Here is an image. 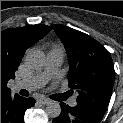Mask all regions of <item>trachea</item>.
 Segmentation results:
<instances>
[{
    "instance_id": "obj_1",
    "label": "trachea",
    "mask_w": 123,
    "mask_h": 123,
    "mask_svg": "<svg viewBox=\"0 0 123 123\" xmlns=\"http://www.w3.org/2000/svg\"><path fill=\"white\" fill-rule=\"evenodd\" d=\"M21 93L24 96H28L29 95L28 91H26V90H22ZM68 95H69L68 93L58 94V95L55 96V99L58 100V101H61L64 98H66Z\"/></svg>"
}]
</instances>
